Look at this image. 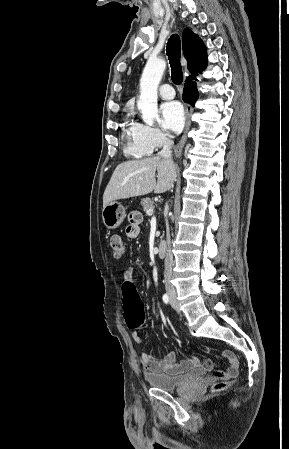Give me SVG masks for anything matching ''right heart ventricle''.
Wrapping results in <instances>:
<instances>
[{
    "label": "right heart ventricle",
    "instance_id": "e07e8e85",
    "mask_svg": "<svg viewBox=\"0 0 289 449\" xmlns=\"http://www.w3.org/2000/svg\"><path fill=\"white\" fill-rule=\"evenodd\" d=\"M125 139V153L129 156L141 158L151 153L150 149L139 139L138 123L128 120L123 132Z\"/></svg>",
    "mask_w": 289,
    "mask_h": 449
}]
</instances>
